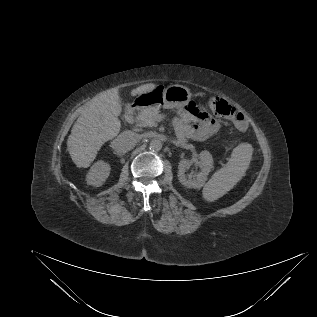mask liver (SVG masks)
Listing matches in <instances>:
<instances>
[{"instance_id": "obj_1", "label": "liver", "mask_w": 317, "mask_h": 317, "mask_svg": "<svg viewBox=\"0 0 317 317\" xmlns=\"http://www.w3.org/2000/svg\"><path fill=\"white\" fill-rule=\"evenodd\" d=\"M155 87L152 83L144 84L133 89L131 95H140ZM121 110L117 88L99 93L82 110L67 141V150L77 167H89L103 144L119 134Z\"/></svg>"}]
</instances>
